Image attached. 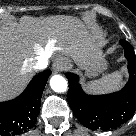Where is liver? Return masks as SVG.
Wrapping results in <instances>:
<instances>
[{"label":"liver","mask_w":136,"mask_h":136,"mask_svg":"<svg viewBox=\"0 0 136 136\" xmlns=\"http://www.w3.org/2000/svg\"><path fill=\"white\" fill-rule=\"evenodd\" d=\"M104 44L98 32L70 16L5 22L0 26V100L25 86L37 57L48 58L59 50L84 68Z\"/></svg>","instance_id":"liver-1"}]
</instances>
